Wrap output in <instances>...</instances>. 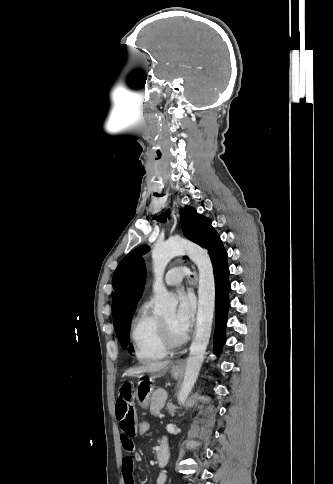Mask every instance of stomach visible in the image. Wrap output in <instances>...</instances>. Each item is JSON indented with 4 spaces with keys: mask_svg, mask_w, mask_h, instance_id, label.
I'll list each match as a JSON object with an SVG mask.
<instances>
[{
    "mask_svg": "<svg viewBox=\"0 0 333 484\" xmlns=\"http://www.w3.org/2000/svg\"><path fill=\"white\" fill-rule=\"evenodd\" d=\"M169 371L172 377L178 378L181 374V367L171 364L169 366ZM152 394H153V387L149 381L142 380L138 382L135 395L141 407L146 408L149 405Z\"/></svg>",
    "mask_w": 333,
    "mask_h": 484,
    "instance_id": "stomach-1",
    "label": "stomach"
}]
</instances>
